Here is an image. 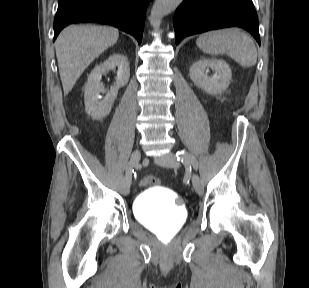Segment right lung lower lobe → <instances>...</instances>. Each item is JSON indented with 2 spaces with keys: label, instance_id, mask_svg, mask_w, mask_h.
Listing matches in <instances>:
<instances>
[{
  "label": "right lung lower lobe",
  "instance_id": "right-lung-lower-lobe-1",
  "mask_svg": "<svg viewBox=\"0 0 309 288\" xmlns=\"http://www.w3.org/2000/svg\"><path fill=\"white\" fill-rule=\"evenodd\" d=\"M151 0H59L54 39L67 25L98 22L115 26L142 41L146 8Z\"/></svg>",
  "mask_w": 309,
  "mask_h": 288
}]
</instances>
